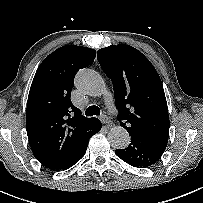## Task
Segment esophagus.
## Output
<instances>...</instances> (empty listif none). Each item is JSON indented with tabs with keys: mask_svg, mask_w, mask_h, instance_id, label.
Returning a JSON list of instances; mask_svg holds the SVG:
<instances>
[{
	"mask_svg": "<svg viewBox=\"0 0 203 203\" xmlns=\"http://www.w3.org/2000/svg\"><path fill=\"white\" fill-rule=\"evenodd\" d=\"M100 120L103 124L107 125V126H112V121L106 116V115H101L100 116Z\"/></svg>",
	"mask_w": 203,
	"mask_h": 203,
	"instance_id": "34e87169",
	"label": "esophagus"
}]
</instances>
